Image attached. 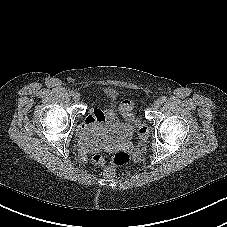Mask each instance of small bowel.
<instances>
[{"label":"small bowel","mask_w":227,"mask_h":227,"mask_svg":"<svg viewBox=\"0 0 227 227\" xmlns=\"http://www.w3.org/2000/svg\"><path fill=\"white\" fill-rule=\"evenodd\" d=\"M112 111L95 108L90 111L85 121L78 127L77 135L86 152L96 151L104 139L107 124L114 119Z\"/></svg>","instance_id":"c3829d8e"}]
</instances>
